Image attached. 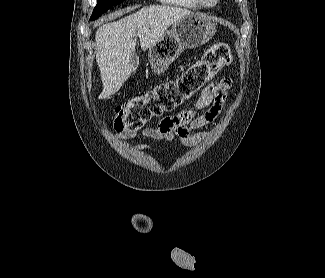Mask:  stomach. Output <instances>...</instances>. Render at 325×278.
<instances>
[{
    "mask_svg": "<svg viewBox=\"0 0 325 278\" xmlns=\"http://www.w3.org/2000/svg\"><path fill=\"white\" fill-rule=\"evenodd\" d=\"M215 25L206 17L189 15L174 22L171 30L149 48L152 68L161 73L187 48H196L207 43L215 34Z\"/></svg>",
    "mask_w": 325,
    "mask_h": 278,
    "instance_id": "0dacf381",
    "label": "stomach"
}]
</instances>
